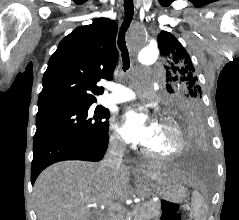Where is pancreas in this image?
I'll return each instance as SVG.
<instances>
[{"mask_svg":"<svg viewBox=\"0 0 239 220\" xmlns=\"http://www.w3.org/2000/svg\"><path fill=\"white\" fill-rule=\"evenodd\" d=\"M133 211L134 220H151L161 215V204L159 202H145L136 206ZM117 220V219H112Z\"/></svg>","mask_w":239,"mask_h":220,"instance_id":"cf45deb5","label":"pancreas"}]
</instances>
